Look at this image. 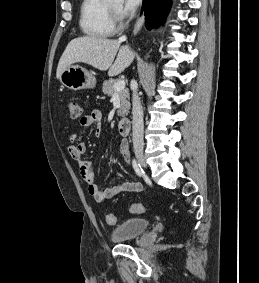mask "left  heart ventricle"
<instances>
[{"label":"left heart ventricle","instance_id":"1","mask_svg":"<svg viewBox=\"0 0 259 283\" xmlns=\"http://www.w3.org/2000/svg\"><path fill=\"white\" fill-rule=\"evenodd\" d=\"M112 5L115 6V7H119L120 6L119 2H114Z\"/></svg>","mask_w":259,"mask_h":283}]
</instances>
